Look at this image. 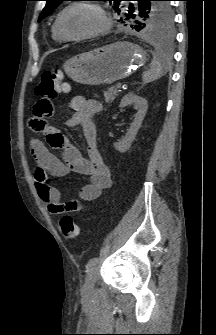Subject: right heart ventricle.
<instances>
[{
  "mask_svg": "<svg viewBox=\"0 0 216 335\" xmlns=\"http://www.w3.org/2000/svg\"><path fill=\"white\" fill-rule=\"evenodd\" d=\"M52 37L55 41L62 42L64 39L57 33L55 26L52 27Z\"/></svg>",
  "mask_w": 216,
  "mask_h": 335,
  "instance_id": "right-heart-ventricle-1",
  "label": "right heart ventricle"
}]
</instances>
